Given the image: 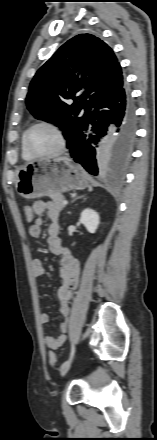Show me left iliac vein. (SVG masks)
Returning <instances> with one entry per match:
<instances>
[{
    "label": "left iliac vein",
    "instance_id": "obj_1",
    "mask_svg": "<svg viewBox=\"0 0 157 440\" xmlns=\"http://www.w3.org/2000/svg\"><path fill=\"white\" fill-rule=\"evenodd\" d=\"M70 366H71V361H70V362H69V361H66V362L61 366L60 373H61L62 376H64V375L68 372Z\"/></svg>",
    "mask_w": 157,
    "mask_h": 440
}]
</instances>
